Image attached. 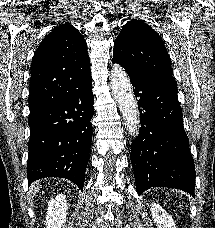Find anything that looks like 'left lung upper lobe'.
<instances>
[{"label": "left lung upper lobe", "mask_w": 215, "mask_h": 228, "mask_svg": "<svg viewBox=\"0 0 215 228\" xmlns=\"http://www.w3.org/2000/svg\"><path fill=\"white\" fill-rule=\"evenodd\" d=\"M112 62L134 76L158 78L173 73L161 37L141 20L128 21L122 27L114 43Z\"/></svg>", "instance_id": "1"}]
</instances>
